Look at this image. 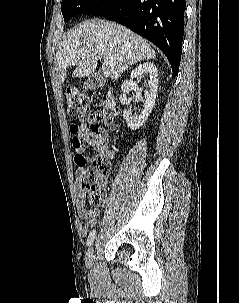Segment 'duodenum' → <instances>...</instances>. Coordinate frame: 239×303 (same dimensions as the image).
<instances>
[{
    "instance_id": "1",
    "label": "duodenum",
    "mask_w": 239,
    "mask_h": 303,
    "mask_svg": "<svg viewBox=\"0 0 239 303\" xmlns=\"http://www.w3.org/2000/svg\"><path fill=\"white\" fill-rule=\"evenodd\" d=\"M107 103L110 107H112L115 104V100H114V97L111 92L109 93V95L107 97Z\"/></svg>"
}]
</instances>
